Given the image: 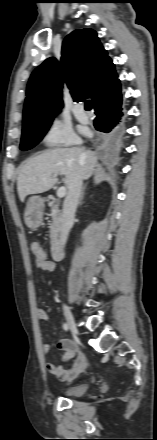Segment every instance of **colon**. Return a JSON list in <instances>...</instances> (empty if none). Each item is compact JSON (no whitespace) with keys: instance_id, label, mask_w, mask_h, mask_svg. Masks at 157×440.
<instances>
[{"instance_id":"colon-1","label":"colon","mask_w":157,"mask_h":440,"mask_svg":"<svg viewBox=\"0 0 157 440\" xmlns=\"http://www.w3.org/2000/svg\"><path fill=\"white\" fill-rule=\"evenodd\" d=\"M31 250L36 258V266L38 269L43 270L47 267L49 260L47 259L46 253L42 246L38 242H33L31 244Z\"/></svg>"}]
</instances>
